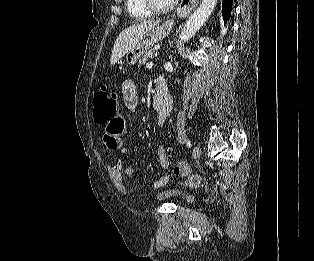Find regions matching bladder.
Instances as JSON below:
<instances>
[{
    "instance_id": "31cf9c89",
    "label": "bladder",
    "mask_w": 314,
    "mask_h": 261,
    "mask_svg": "<svg viewBox=\"0 0 314 261\" xmlns=\"http://www.w3.org/2000/svg\"><path fill=\"white\" fill-rule=\"evenodd\" d=\"M159 200H174L178 204H190L193 202L192 195L183 189L167 187L158 193Z\"/></svg>"
}]
</instances>
